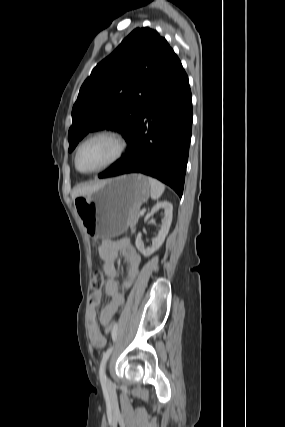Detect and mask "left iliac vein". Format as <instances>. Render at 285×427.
<instances>
[{"mask_svg": "<svg viewBox=\"0 0 285 427\" xmlns=\"http://www.w3.org/2000/svg\"><path fill=\"white\" fill-rule=\"evenodd\" d=\"M107 386L109 389H111L113 387V384L109 379H107Z\"/></svg>", "mask_w": 285, "mask_h": 427, "instance_id": "left-iliac-vein-1", "label": "left iliac vein"}]
</instances>
